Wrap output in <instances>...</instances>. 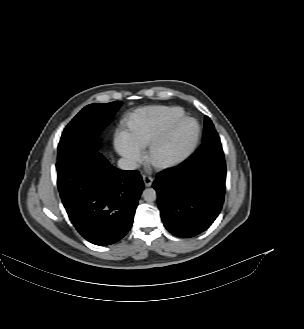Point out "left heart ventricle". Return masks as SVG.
<instances>
[{
    "mask_svg": "<svg viewBox=\"0 0 304 329\" xmlns=\"http://www.w3.org/2000/svg\"><path fill=\"white\" fill-rule=\"evenodd\" d=\"M196 125L193 121L182 123L173 138L157 154L159 159L171 158L181 153L194 138Z\"/></svg>",
    "mask_w": 304,
    "mask_h": 329,
    "instance_id": "1",
    "label": "left heart ventricle"
}]
</instances>
